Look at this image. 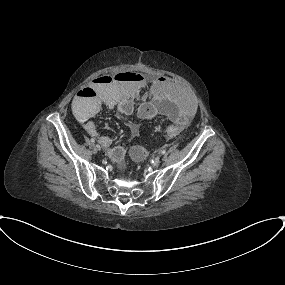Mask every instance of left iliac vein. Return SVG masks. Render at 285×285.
I'll return each instance as SVG.
<instances>
[{
  "mask_svg": "<svg viewBox=\"0 0 285 285\" xmlns=\"http://www.w3.org/2000/svg\"><path fill=\"white\" fill-rule=\"evenodd\" d=\"M159 163H160V157L154 158L153 165H154V166H158Z\"/></svg>",
  "mask_w": 285,
  "mask_h": 285,
  "instance_id": "obj_1",
  "label": "left iliac vein"
}]
</instances>
